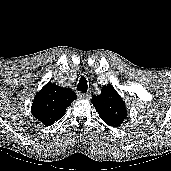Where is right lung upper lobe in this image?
I'll return each mask as SVG.
<instances>
[{
    "label": "right lung upper lobe",
    "mask_w": 171,
    "mask_h": 171,
    "mask_svg": "<svg viewBox=\"0 0 171 171\" xmlns=\"http://www.w3.org/2000/svg\"><path fill=\"white\" fill-rule=\"evenodd\" d=\"M75 99L77 96L71 89L49 82L34 98L33 116L45 126H50L64 116L66 108Z\"/></svg>",
    "instance_id": "1"
}]
</instances>
